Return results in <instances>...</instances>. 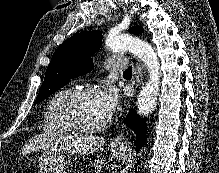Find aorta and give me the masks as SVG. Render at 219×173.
I'll list each match as a JSON object with an SVG mask.
<instances>
[{
    "label": "aorta",
    "instance_id": "762f6f07",
    "mask_svg": "<svg viewBox=\"0 0 219 173\" xmlns=\"http://www.w3.org/2000/svg\"><path fill=\"white\" fill-rule=\"evenodd\" d=\"M105 45L111 51H128L144 63L149 72V79L139 93L137 112L141 117H148L154 110L159 94L160 63L154 49L145 41L129 34L108 36Z\"/></svg>",
    "mask_w": 219,
    "mask_h": 173
}]
</instances>
